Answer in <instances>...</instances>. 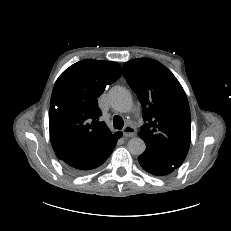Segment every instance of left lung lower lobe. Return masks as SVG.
<instances>
[{"label":"left lung lower lobe","mask_w":231,"mask_h":231,"mask_svg":"<svg viewBox=\"0 0 231 231\" xmlns=\"http://www.w3.org/2000/svg\"><path fill=\"white\" fill-rule=\"evenodd\" d=\"M185 158V154L147 146L145 152L138 157V161L145 171L163 176L178 168Z\"/></svg>","instance_id":"1"}]
</instances>
